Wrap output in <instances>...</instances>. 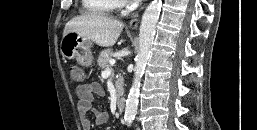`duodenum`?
I'll return each instance as SVG.
<instances>
[{
    "label": "duodenum",
    "mask_w": 257,
    "mask_h": 130,
    "mask_svg": "<svg viewBox=\"0 0 257 130\" xmlns=\"http://www.w3.org/2000/svg\"><path fill=\"white\" fill-rule=\"evenodd\" d=\"M116 105H117V110L122 113L125 109V98L123 97H118L117 98V102H116Z\"/></svg>",
    "instance_id": "obj_1"
}]
</instances>
